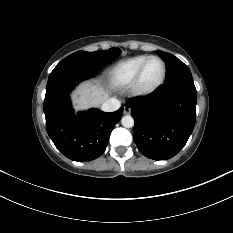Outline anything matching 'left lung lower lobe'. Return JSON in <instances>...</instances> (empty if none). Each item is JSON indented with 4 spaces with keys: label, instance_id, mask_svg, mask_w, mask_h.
Segmentation results:
<instances>
[{
    "label": "left lung lower lobe",
    "instance_id": "0a47b994",
    "mask_svg": "<svg viewBox=\"0 0 233 233\" xmlns=\"http://www.w3.org/2000/svg\"><path fill=\"white\" fill-rule=\"evenodd\" d=\"M197 92L193 80L163 84L127 103L135 120L133 139L148 158L166 160L186 144L195 125Z\"/></svg>",
    "mask_w": 233,
    "mask_h": 233
}]
</instances>
